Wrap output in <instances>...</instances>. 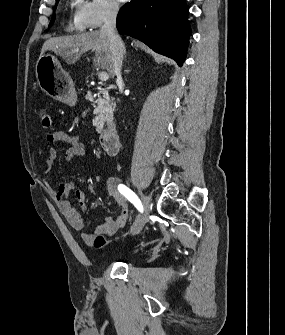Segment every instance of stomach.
<instances>
[{"mask_svg":"<svg viewBox=\"0 0 285 335\" xmlns=\"http://www.w3.org/2000/svg\"><path fill=\"white\" fill-rule=\"evenodd\" d=\"M35 72L42 92H45L53 100H59V102L71 104V106L75 104L74 84L55 56H51V54L40 56Z\"/></svg>","mask_w":285,"mask_h":335,"instance_id":"1","label":"stomach"}]
</instances>
